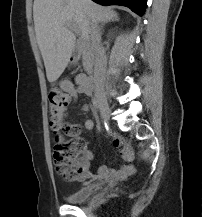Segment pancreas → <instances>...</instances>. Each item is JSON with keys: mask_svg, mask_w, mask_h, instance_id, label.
Masks as SVG:
<instances>
[{"mask_svg": "<svg viewBox=\"0 0 202 217\" xmlns=\"http://www.w3.org/2000/svg\"><path fill=\"white\" fill-rule=\"evenodd\" d=\"M85 45H86L85 42L81 43V46L83 47V59H84L83 65L85 69L88 70L90 68V62H89L88 52L85 48Z\"/></svg>", "mask_w": 202, "mask_h": 217, "instance_id": "cf45deb5", "label": "pancreas"}]
</instances>
